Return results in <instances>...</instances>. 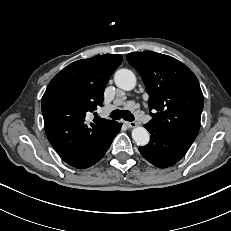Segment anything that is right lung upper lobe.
<instances>
[{"mask_svg": "<svg viewBox=\"0 0 231 231\" xmlns=\"http://www.w3.org/2000/svg\"><path fill=\"white\" fill-rule=\"evenodd\" d=\"M121 55L107 54L75 61L50 81L41 108L48 140L69 165L82 168L105 144L116 121L87 115L102 106L103 92Z\"/></svg>", "mask_w": 231, "mask_h": 231, "instance_id": "cb5924a9", "label": "right lung upper lobe"}]
</instances>
